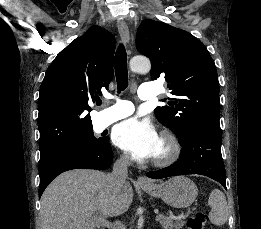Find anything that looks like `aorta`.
<instances>
[{
    "instance_id": "762f6f07",
    "label": "aorta",
    "mask_w": 261,
    "mask_h": 229,
    "mask_svg": "<svg viewBox=\"0 0 261 229\" xmlns=\"http://www.w3.org/2000/svg\"><path fill=\"white\" fill-rule=\"evenodd\" d=\"M151 68V62L147 56H133L130 60V70L133 72H149Z\"/></svg>"
}]
</instances>
